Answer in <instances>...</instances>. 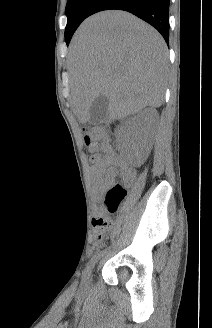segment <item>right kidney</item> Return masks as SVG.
<instances>
[{"mask_svg": "<svg viewBox=\"0 0 212 328\" xmlns=\"http://www.w3.org/2000/svg\"><path fill=\"white\" fill-rule=\"evenodd\" d=\"M159 120V114L154 108H146L136 116L128 119L123 129L124 138L132 145L133 150L138 151L155 131Z\"/></svg>", "mask_w": 212, "mask_h": 328, "instance_id": "ca27d5eb", "label": "right kidney"}]
</instances>
